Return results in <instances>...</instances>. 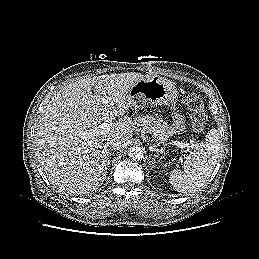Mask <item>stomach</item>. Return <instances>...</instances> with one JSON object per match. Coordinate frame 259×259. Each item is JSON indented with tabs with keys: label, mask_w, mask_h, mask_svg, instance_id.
I'll use <instances>...</instances> for the list:
<instances>
[{
	"label": "stomach",
	"mask_w": 259,
	"mask_h": 259,
	"mask_svg": "<svg viewBox=\"0 0 259 259\" xmlns=\"http://www.w3.org/2000/svg\"><path fill=\"white\" fill-rule=\"evenodd\" d=\"M178 91L175 84L160 76L145 77L137 81L127 92L126 98L130 108L143 109L148 105H165L173 110L172 129L175 134L184 133L185 120L182 115L174 112Z\"/></svg>",
	"instance_id": "1"
}]
</instances>
